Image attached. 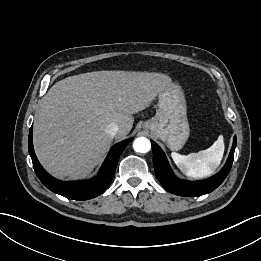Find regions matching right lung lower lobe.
<instances>
[{
	"instance_id": "1",
	"label": "right lung lower lobe",
	"mask_w": 261,
	"mask_h": 261,
	"mask_svg": "<svg viewBox=\"0 0 261 261\" xmlns=\"http://www.w3.org/2000/svg\"><path fill=\"white\" fill-rule=\"evenodd\" d=\"M132 140L133 138H130L114 145L101 167L100 174L91 180L80 182L58 181L43 169L34 152L32 126L29 131L28 149L36 175L48 189L69 199L88 200L103 193L110 185L120 155Z\"/></svg>"
}]
</instances>
